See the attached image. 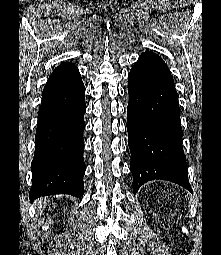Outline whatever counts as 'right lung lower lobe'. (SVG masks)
I'll use <instances>...</instances> for the list:
<instances>
[{
    "label": "right lung lower lobe",
    "instance_id": "1",
    "mask_svg": "<svg viewBox=\"0 0 221 255\" xmlns=\"http://www.w3.org/2000/svg\"><path fill=\"white\" fill-rule=\"evenodd\" d=\"M84 95L74 64L62 63L50 75L38 112L31 201L56 194L83 196Z\"/></svg>",
    "mask_w": 221,
    "mask_h": 255
}]
</instances>
